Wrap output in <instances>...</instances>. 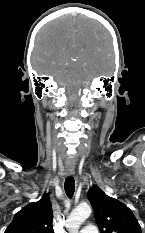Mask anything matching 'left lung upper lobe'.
Segmentation results:
<instances>
[{"instance_id":"obj_1","label":"left lung upper lobe","mask_w":145,"mask_h":233,"mask_svg":"<svg viewBox=\"0 0 145 233\" xmlns=\"http://www.w3.org/2000/svg\"><path fill=\"white\" fill-rule=\"evenodd\" d=\"M100 233H141L132 211L123 203L106 195L99 187L88 191Z\"/></svg>"}]
</instances>
